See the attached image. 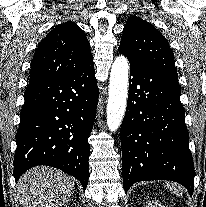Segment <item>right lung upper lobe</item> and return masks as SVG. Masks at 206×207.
I'll list each match as a JSON object with an SVG mask.
<instances>
[{"label": "right lung upper lobe", "instance_id": "cb5924a9", "mask_svg": "<svg viewBox=\"0 0 206 207\" xmlns=\"http://www.w3.org/2000/svg\"><path fill=\"white\" fill-rule=\"evenodd\" d=\"M92 62L85 33L68 21L52 29L39 43L31 62L29 83L66 77Z\"/></svg>", "mask_w": 206, "mask_h": 207}]
</instances>
